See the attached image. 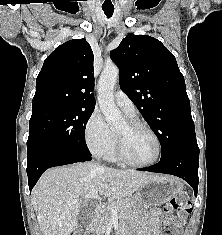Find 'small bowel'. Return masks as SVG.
Listing matches in <instances>:
<instances>
[{
	"mask_svg": "<svg viewBox=\"0 0 222 235\" xmlns=\"http://www.w3.org/2000/svg\"><path fill=\"white\" fill-rule=\"evenodd\" d=\"M159 211L153 210L144 230L139 235H158Z\"/></svg>",
	"mask_w": 222,
	"mask_h": 235,
	"instance_id": "1",
	"label": "small bowel"
}]
</instances>
